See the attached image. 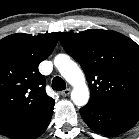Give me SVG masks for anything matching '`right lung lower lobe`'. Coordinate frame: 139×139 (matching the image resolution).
<instances>
[{"mask_svg": "<svg viewBox=\"0 0 139 139\" xmlns=\"http://www.w3.org/2000/svg\"><path fill=\"white\" fill-rule=\"evenodd\" d=\"M53 107L54 105L50 106L33 120L5 133L4 136L10 139H35L39 137L50 123Z\"/></svg>", "mask_w": 139, "mask_h": 139, "instance_id": "1", "label": "right lung lower lobe"}]
</instances>
